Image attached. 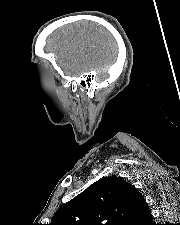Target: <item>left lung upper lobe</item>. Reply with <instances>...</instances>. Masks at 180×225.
I'll list each match as a JSON object with an SVG mask.
<instances>
[{
  "mask_svg": "<svg viewBox=\"0 0 180 225\" xmlns=\"http://www.w3.org/2000/svg\"><path fill=\"white\" fill-rule=\"evenodd\" d=\"M145 207L143 195L130 183L108 176L66 203L49 225H125Z\"/></svg>",
  "mask_w": 180,
  "mask_h": 225,
  "instance_id": "5c2ea615",
  "label": "left lung upper lobe"
}]
</instances>
